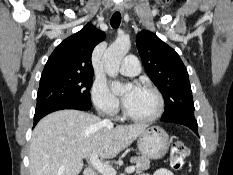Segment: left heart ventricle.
<instances>
[{"instance_id":"1","label":"left heart ventricle","mask_w":233,"mask_h":175,"mask_svg":"<svg viewBox=\"0 0 233 175\" xmlns=\"http://www.w3.org/2000/svg\"><path fill=\"white\" fill-rule=\"evenodd\" d=\"M125 106L130 114L144 117L155 111L157 100L150 91L139 88V90L125 102Z\"/></svg>"}]
</instances>
